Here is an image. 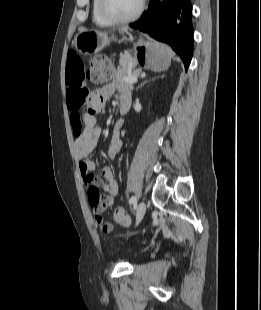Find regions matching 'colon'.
<instances>
[{
  "label": "colon",
  "mask_w": 261,
  "mask_h": 310,
  "mask_svg": "<svg viewBox=\"0 0 261 310\" xmlns=\"http://www.w3.org/2000/svg\"><path fill=\"white\" fill-rule=\"evenodd\" d=\"M112 66L109 59L105 55L94 56L89 62L88 79L93 83H100L112 76ZM89 201L92 206H97L102 203V198L95 188L89 190ZM114 219L123 225H128L130 219L122 207H117L114 210ZM100 230L104 233L112 231V225L104 221L101 217L96 218Z\"/></svg>",
  "instance_id": "1"
}]
</instances>
